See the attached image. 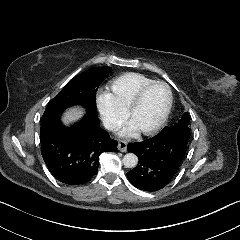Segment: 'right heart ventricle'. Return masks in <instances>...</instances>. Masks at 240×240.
I'll return each mask as SVG.
<instances>
[{
	"label": "right heart ventricle",
	"instance_id": "obj_1",
	"mask_svg": "<svg viewBox=\"0 0 240 240\" xmlns=\"http://www.w3.org/2000/svg\"><path fill=\"white\" fill-rule=\"evenodd\" d=\"M151 81L152 79L138 73H125L108 82L106 85L108 92L104 95L124 112L138 90Z\"/></svg>",
	"mask_w": 240,
	"mask_h": 240
}]
</instances>
